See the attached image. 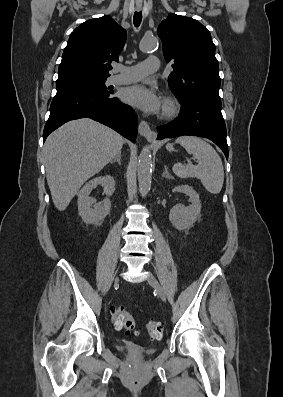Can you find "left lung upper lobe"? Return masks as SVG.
<instances>
[{
	"mask_svg": "<svg viewBox=\"0 0 283 397\" xmlns=\"http://www.w3.org/2000/svg\"><path fill=\"white\" fill-rule=\"evenodd\" d=\"M158 35L166 62L174 68L168 82L179 101L221 106L219 65L209 30L195 19L170 13L160 23Z\"/></svg>",
	"mask_w": 283,
	"mask_h": 397,
	"instance_id": "obj_1",
	"label": "left lung upper lobe"
}]
</instances>
